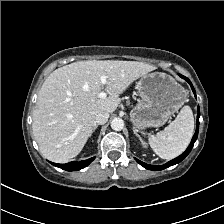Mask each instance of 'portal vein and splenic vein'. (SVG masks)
<instances>
[{"instance_id": "1", "label": "portal vein and splenic vein", "mask_w": 224, "mask_h": 224, "mask_svg": "<svg viewBox=\"0 0 224 224\" xmlns=\"http://www.w3.org/2000/svg\"><path fill=\"white\" fill-rule=\"evenodd\" d=\"M100 80H101V83H102L103 85H105L106 82H107V77H106V76H101V77H100ZM106 96H107V93H106L105 91H102V92H100V93L98 94V98H101V99L106 98Z\"/></svg>"}]
</instances>
